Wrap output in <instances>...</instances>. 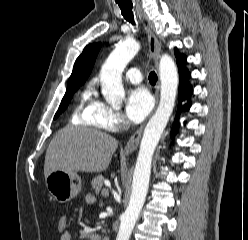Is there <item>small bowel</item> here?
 <instances>
[{
	"mask_svg": "<svg viewBox=\"0 0 248 240\" xmlns=\"http://www.w3.org/2000/svg\"><path fill=\"white\" fill-rule=\"evenodd\" d=\"M87 201L88 202H92L93 201V197L92 196H88L87 197ZM60 240H73V236L72 233L70 231H65L63 233H61L60 235Z\"/></svg>",
	"mask_w": 248,
	"mask_h": 240,
	"instance_id": "small-bowel-1",
	"label": "small bowel"
}]
</instances>
